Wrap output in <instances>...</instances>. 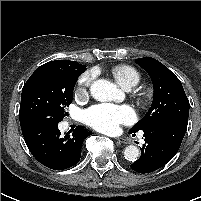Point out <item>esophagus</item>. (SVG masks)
Listing matches in <instances>:
<instances>
[{"mask_svg":"<svg viewBox=\"0 0 201 201\" xmlns=\"http://www.w3.org/2000/svg\"><path fill=\"white\" fill-rule=\"evenodd\" d=\"M115 140L117 141V143H123V144L127 143V141L125 139H122V138H115Z\"/></svg>","mask_w":201,"mask_h":201,"instance_id":"1","label":"esophagus"}]
</instances>
